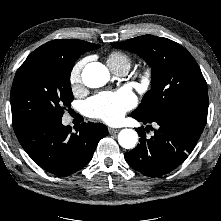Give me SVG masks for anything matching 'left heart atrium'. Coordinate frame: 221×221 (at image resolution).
Listing matches in <instances>:
<instances>
[{"label":"left heart atrium","instance_id":"left-heart-atrium-1","mask_svg":"<svg viewBox=\"0 0 221 221\" xmlns=\"http://www.w3.org/2000/svg\"><path fill=\"white\" fill-rule=\"evenodd\" d=\"M136 104L135 96L128 90L103 92L86 102L87 113L107 123L119 121Z\"/></svg>","mask_w":221,"mask_h":221}]
</instances>
